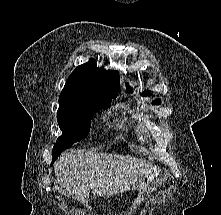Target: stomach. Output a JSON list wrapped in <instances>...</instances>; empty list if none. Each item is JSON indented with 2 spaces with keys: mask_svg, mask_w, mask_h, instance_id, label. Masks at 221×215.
<instances>
[{
  "mask_svg": "<svg viewBox=\"0 0 221 215\" xmlns=\"http://www.w3.org/2000/svg\"><path fill=\"white\" fill-rule=\"evenodd\" d=\"M163 181L164 170L159 166L149 165L139 186V199L133 204L129 215H131L132 212H135L141 200L143 199V195L152 187L157 184H161Z\"/></svg>",
  "mask_w": 221,
  "mask_h": 215,
  "instance_id": "0dacf381",
  "label": "stomach"
}]
</instances>
